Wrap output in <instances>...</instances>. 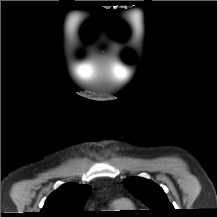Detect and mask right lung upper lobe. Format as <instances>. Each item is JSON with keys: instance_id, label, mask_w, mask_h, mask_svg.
I'll list each match as a JSON object with an SVG mask.
<instances>
[{"instance_id": "obj_1", "label": "right lung upper lobe", "mask_w": 217, "mask_h": 217, "mask_svg": "<svg viewBox=\"0 0 217 217\" xmlns=\"http://www.w3.org/2000/svg\"><path fill=\"white\" fill-rule=\"evenodd\" d=\"M90 192L89 185L64 184L50 194L37 217H87L83 207Z\"/></svg>"}]
</instances>
